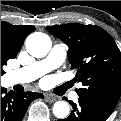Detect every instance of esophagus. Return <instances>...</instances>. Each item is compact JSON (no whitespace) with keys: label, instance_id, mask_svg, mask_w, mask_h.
Returning <instances> with one entry per match:
<instances>
[{"label":"esophagus","instance_id":"esophagus-1","mask_svg":"<svg viewBox=\"0 0 121 121\" xmlns=\"http://www.w3.org/2000/svg\"><path fill=\"white\" fill-rule=\"evenodd\" d=\"M45 98L50 102H55L57 100L56 96L52 94H45Z\"/></svg>","mask_w":121,"mask_h":121}]
</instances>
